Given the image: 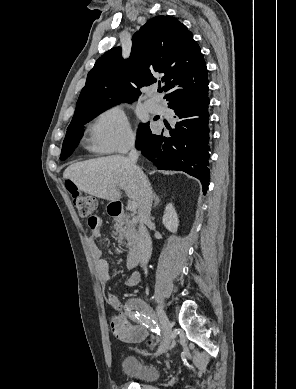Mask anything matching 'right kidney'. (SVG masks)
I'll return each instance as SVG.
<instances>
[{
	"label": "right kidney",
	"mask_w": 296,
	"mask_h": 389,
	"mask_svg": "<svg viewBox=\"0 0 296 389\" xmlns=\"http://www.w3.org/2000/svg\"><path fill=\"white\" fill-rule=\"evenodd\" d=\"M162 223L170 232H177L179 220L172 203L167 204L165 207Z\"/></svg>",
	"instance_id": "ca27d5eb"
}]
</instances>
